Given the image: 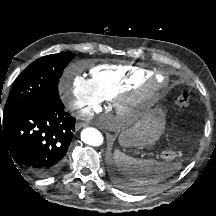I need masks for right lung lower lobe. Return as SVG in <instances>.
<instances>
[{"instance_id": "1", "label": "right lung lower lobe", "mask_w": 216, "mask_h": 216, "mask_svg": "<svg viewBox=\"0 0 216 216\" xmlns=\"http://www.w3.org/2000/svg\"><path fill=\"white\" fill-rule=\"evenodd\" d=\"M75 121L60 98L0 117V154L36 177L55 175L63 167Z\"/></svg>"}]
</instances>
